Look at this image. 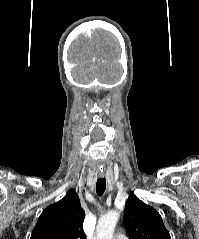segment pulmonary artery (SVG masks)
<instances>
[{
	"instance_id": "e3ab8cb5",
	"label": "pulmonary artery",
	"mask_w": 199,
	"mask_h": 239,
	"mask_svg": "<svg viewBox=\"0 0 199 239\" xmlns=\"http://www.w3.org/2000/svg\"><path fill=\"white\" fill-rule=\"evenodd\" d=\"M113 239H128L124 234H116Z\"/></svg>"
}]
</instances>
